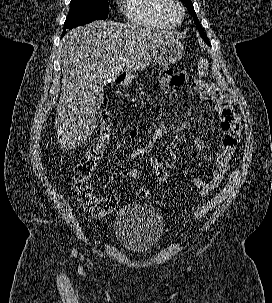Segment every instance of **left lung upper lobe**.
Here are the masks:
<instances>
[{"mask_svg": "<svg viewBox=\"0 0 272 303\" xmlns=\"http://www.w3.org/2000/svg\"><path fill=\"white\" fill-rule=\"evenodd\" d=\"M182 2H183L184 4H186L189 13L193 16V20L195 21L196 26H197L198 29H199L200 35L202 36V38L204 39V41H205L207 44L210 45L209 39H208V37L206 36V34L204 33V30H203L202 26L200 25V23H199V21H198V18H197V15H196L195 11H194V7H193V4H192L191 0H182Z\"/></svg>", "mask_w": 272, "mask_h": 303, "instance_id": "left-lung-upper-lobe-1", "label": "left lung upper lobe"}]
</instances>
